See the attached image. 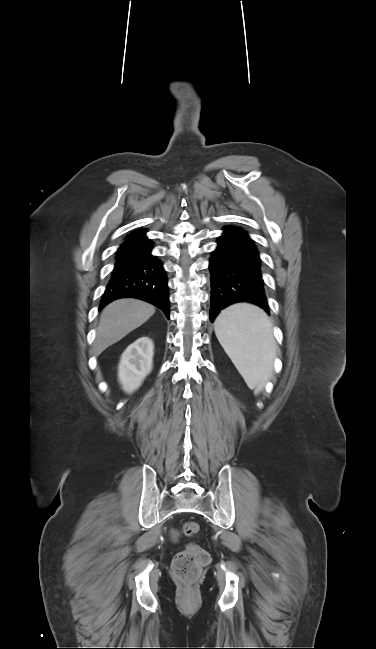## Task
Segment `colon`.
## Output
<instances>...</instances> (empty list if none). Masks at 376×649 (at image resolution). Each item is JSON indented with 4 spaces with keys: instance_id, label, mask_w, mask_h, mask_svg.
<instances>
[{
    "instance_id": "5ec220e1",
    "label": "colon",
    "mask_w": 376,
    "mask_h": 649,
    "mask_svg": "<svg viewBox=\"0 0 376 649\" xmlns=\"http://www.w3.org/2000/svg\"><path fill=\"white\" fill-rule=\"evenodd\" d=\"M180 531L185 537H194L198 535L200 526L197 522L188 521L183 524ZM209 562V553L200 546L190 543L185 550L175 555L172 561V574L179 581L191 583L200 577L203 568Z\"/></svg>"
}]
</instances>
